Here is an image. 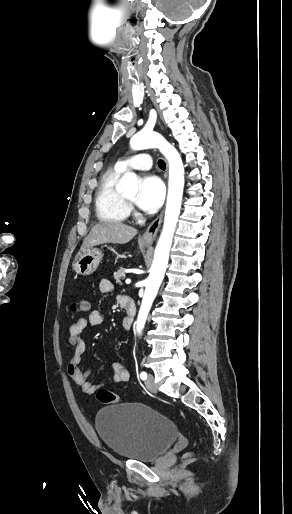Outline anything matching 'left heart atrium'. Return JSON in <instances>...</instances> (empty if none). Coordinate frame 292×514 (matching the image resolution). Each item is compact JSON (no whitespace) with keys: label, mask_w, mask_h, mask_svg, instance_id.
<instances>
[{"label":"left heart atrium","mask_w":292,"mask_h":514,"mask_svg":"<svg viewBox=\"0 0 292 514\" xmlns=\"http://www.w3.org/2000/svg\"><path fill=\"white\" fill-rule=\"evenodd\" d=\"M165 195L162 180L156 175H147L141 180L135 197L137 206L145 212H155L161 206Z\"/></svg>","instance_id":"39dd6f15"}]
</instances>
